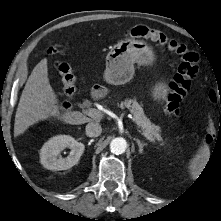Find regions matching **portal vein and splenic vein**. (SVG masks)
I'll list each match as a JSON object with an SVG mask.
<instances>
[{
  "label": "portal vein and splenic vein",
  "mask_w": 221,
  "mask_h": 221,
  "mask_svg": "<svg viewBox=\"0 0 221 221\" xmlns=\"http://www.w3.org/2000/svg\"><path fill=\"white\" fill-rule=\"evenodd\" d=\"M86 114L91 117V118H94V119H101L103 114L101 111L95 109V108H89L86 110ZM142 134L144 137H146L150 142H155L154 138L152 137V135H150L148 132L146 131H143L142 130Z\"/></svg>",
  "instance_id": "1"
}]
</instances>
